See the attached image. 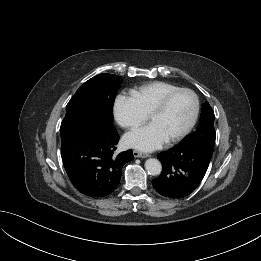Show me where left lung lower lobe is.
I'll return each instance as SVG.
<instances>
[{"label":"left lung lower lobe","mask_w":261,"mask_h":261,"mask_svg":"<svg viewBox=\"0 0 261 261\" xmlns=\"http://www.w3.org/2000/svg\"><path fill=\"white\" fill-rule=\"evenodd\" d=\"M211 155L205 150L177 144L158 154L162 163L160 176L152 180L155 190L167 198H183L200 184L208 169Z\"/></svg>","instance_id":"0a47b994"}]
</instances>
